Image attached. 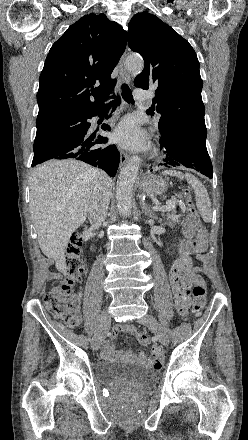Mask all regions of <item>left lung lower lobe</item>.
<instances>
[{
	"mask_svg": "<svg viewBox=\"0 0 248 440\" xmlns=\"http://www.w3.org/2000/svg\"><path fill=\"white\" fill-rule=\"evenodd\" d=\"M165 152L163 163L166 167L185 166L213 178V169L205 142H196L178 135H167L160 140Z\"/></svg>",
	"mask_w": 248,
	"mask_h": 440,
	"instance_id": "obj_1",
	"label": "left lung lower lobe"
}]
</instances>
